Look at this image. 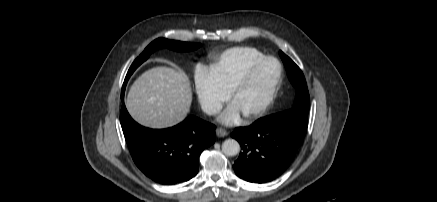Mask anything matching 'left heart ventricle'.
<instances>
[{"label":"left heart ventricle","mask_w":437,"mask_h":202,"mask_svg":"<svg viewBox=\"0 0 437 202\" xmlns=\"http://www.w3.org/2000/svg\"><path fill=\"white\" fill-rule=\"evenodd\" d=\"M276 73L277 65L273 61L262 64L256 70L250 82L234 99L242 114L256 109L264 101Z\"/></svg>","instance_id":"left-heart-ventricle-1"}]
</instances>
